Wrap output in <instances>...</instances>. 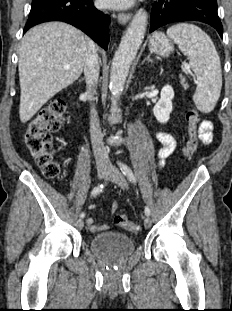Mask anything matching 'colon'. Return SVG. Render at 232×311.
Listing matches in <instances>:
<instances>
[{"mask_svg":"<svg viewBox=\"0 0 232 311\" xmlns=\"http://www.w3.org/2000/svg\"><path fill=\"white\" fill-rule=\"evenodd\" d=\"M64 113V100L61 98L52 100L28 123L23 134L26 149L42 168L44 175L49 178H58L60 176V166L54 158L52 134L58 131L64 124ZM186 121L188 124V138L183 154L185 157L191 158L195 154L199 143L198 125L200 117L196 109L191 108L188 110ZM114 222L117 226L129 232H137L139 230L135 222L129 221L123 215H116Z\"/></svg>","mask_w":232,"mask_h":311,"instance_id":"5ec220e1","label":"colon"}]
</instances>
